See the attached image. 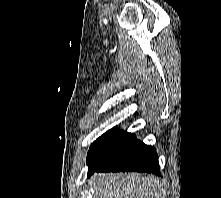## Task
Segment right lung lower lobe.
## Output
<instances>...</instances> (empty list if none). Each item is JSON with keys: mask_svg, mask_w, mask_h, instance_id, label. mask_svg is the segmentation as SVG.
Here are the masks:
<instances>
[{"mask_svg": "<svg viewBox=\"0 0 221 198\" xmlns=\"http://www.w3.org/2000/svg\"><path fill=\"white\" fill-rule=\"evenodd\" d=\"M136 171L153 173L160 176L158 155L151 146L135 138L100 167L89 171L88 177L94 172Z\"/></svg>", "mask_w": 221, "mask_h": 198, "instance_id": "98d812e1", "label": "right lung lower lobe"}]
</instances>
